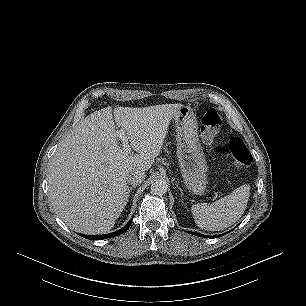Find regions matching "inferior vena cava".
I'll use <instances>...</instances> for the list:
<instances>
[{"label":"inferior vena cava","instance_id":"1","mask_svg":"<svg viewBox=\"0 0 306 306\" xmlns=\"http://www.w3.org/2000/svg\"><path fill=\"white\" fill-rule=\"evenodd\" d=\"M146 177V174L144 171L142 170H136V171H133L131 172L128 177H127V182L130 184V185H138L140 183H142L144 181Z\"/></svg>","mask_w":306,"mask_h":306}]
</instances>
